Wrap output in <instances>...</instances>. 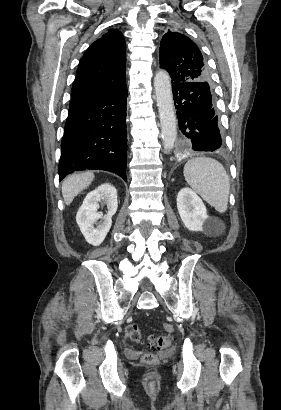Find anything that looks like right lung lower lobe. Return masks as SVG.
I'll return each instance as SVG.
<instances>
[{"label":"right lung lower lobe","mask_w":281,"mask_h":410,"mask_svg":"<svg viewBox=\"0 0 281 410\" xmlns=\"http://www.w3.org/2000/svg\"><path fill=\"white\" fill-rule=\"evenodd\" d=\"M127 86L70 106L62 138L59 180L85 169L114 172L126 181Z\"/></svg>","instance_id":"right-lung-lower-lobe-1"}]
</instances>
